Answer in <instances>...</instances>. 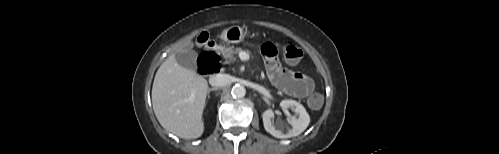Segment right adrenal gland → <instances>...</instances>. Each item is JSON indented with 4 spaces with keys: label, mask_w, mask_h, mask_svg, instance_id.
<instances>
[{
    "label": "right adrenal gland",
    "mask_w": 499,
    "mask_h": 154,
    "mask_svg": "<svg viewBox=\"0 0 499 154\" xmlns=\"http://www.w3.org/2000/svg\"><path fill=\"white\" fill-rule=\"evenodd\" d=\"M216 90H218V88H215V87H213V88H209V89H208V97H209V93H210L211 91H216Z\"/></svg>",
    "instance_id": "1"
}]
</instances>
